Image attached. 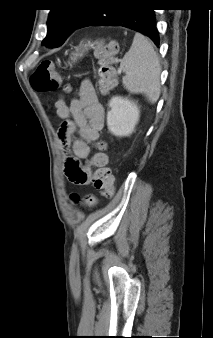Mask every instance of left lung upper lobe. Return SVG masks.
<instances>
[{
	"label": "left lung upper lobe",
	"mask_w": 213,
	"mask_h": 338,
	"mask_svg": "<svg viewBox=\"0 0 213 338\" xmlns=\"http://www.w3.org/2000/svg\"><path fill=\"white\" fill-rule=\"evenodd\" d=\"M107 0H53L48 18V32L43 45L61 46L79 23L100 3Z\"/></svg>",
	"instance_id": "1"
}]
</instances>
